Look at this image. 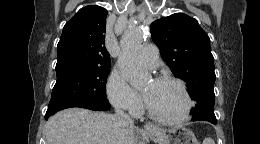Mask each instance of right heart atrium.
I'll list each match as a JSON object with an SVG mask.
<instances>
[{"label":"right heart atrium","instance_id":"d8ad5b80","mask_svg":"<svg viewBox=\"0 0 260 144\" xmlns=\"http://www.w3.org/2000/svg\"><path fill=\"white\" fill-rule=\"evenodd\" d=\"M106 93L111 104L119 110L137 114L142 107L139 95L118 72H112L109 75Z\"/></svg>","mask_w":260,"mask_h":144}]
</instances>
